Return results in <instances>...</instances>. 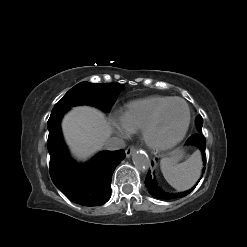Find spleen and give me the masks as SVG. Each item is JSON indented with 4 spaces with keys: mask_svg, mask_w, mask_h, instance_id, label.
<instances>
[{
    "mask_svg": "<svg viewBox=\"0 0 247 247\" xmlns=\"http://www.w3.org/2000/svg\"><path fill=\"white\" fill-rule=\"evenodd\" d=\"M160 167L164 178L173 188L185 191L190 189L200 177L201 155L196 151L180 164H177L172 157H165L161 160Z\"/></svg>",
    "mask_w": 247,
    "mask_h": 247,
    "instance_id": "3e777b00",
    "label": "spleen"
}]
</instances>
